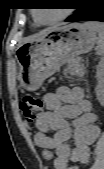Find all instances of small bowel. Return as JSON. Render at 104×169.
I'll list each match as a JSON object with an SVG mask.
<instances>
[{"mask_svg":"<svg viewBox=\"0 0 104 169\" xmlns=\"http://www.w3.org/2000/svg\"><path fill=\"white\" fill-rule=\"evenodd\" d=\"M43 100L46 111L36 122L35 143L47 159L55 155L54 169H68L70 162L85 163L89 146L97 140L100 128L83 90L59 87L46 93ZM70 139L74 141V148L67 143Z\"/></svg>","mask_w":104,"mask_h":169,"instance_id":"obj_1","label":"small bowel"}]
</instances>
